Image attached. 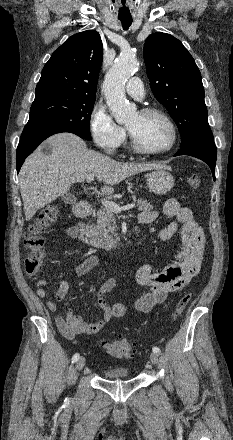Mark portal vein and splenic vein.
<instances>
[{"mask_svg": "<svg viewBox=\"0 0 233 440\" xmlns=\"http://www.w3.org/2000/svg\"><path fill=\"white\" fill-rule=\"evenodd\" d=\"M93 179H94V177L90 175V176H87L86 181H87V183H91L93 181ZM102 205L106 208L113 210L115 213H120L121 211H126V210H129V209H132L133 207H135L134 203L120 207L118 204H116L113 201H102Z\"/></svg>", "mask_w": 233, "mask_h": 440, "instance_id": "obj_1", "label": "portal vein and splenic vein"}]
</instances>
